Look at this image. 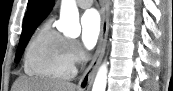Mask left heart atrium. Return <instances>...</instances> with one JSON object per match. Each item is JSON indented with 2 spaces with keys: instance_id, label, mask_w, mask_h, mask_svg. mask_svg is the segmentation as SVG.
<instances>
[{
  "instance_id": "39dd6f15",
  "label": "left heart atrium",
  "mask_w": 173,
  "mask_h": 91,
  "mask_svg": "<svg viewBox=\"0 0 173 91\" xmlns=\"http://www.w3.org/2000/svg\"><path fill=\"white\" fill-rule=\"evenodd\" d=\"M101 20L96 10H87L81 17V40L86 49L93 48L100 36Z\"/></svg>"
}]
</instances>
